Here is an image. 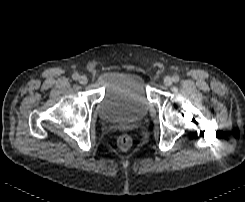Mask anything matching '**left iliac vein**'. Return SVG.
Segmentation results:
<instances>
[{
  "label": "left iliac vein",
  "instance_id": "left-iliac-vein-1",
  "mask_svg": "<svg viewBox=\"0 0 245 202\" xmlns=\"http://www.w3.org/2000/svg\"><path fill=\"white\" fill-rule=\"evenodd\" d=\"M172 83H173V80H172V78L170 76H167V77L164 78V84L166 86H170V85H172Z\"/></svg>",
  "mask_w": 245,
  "mask_h": 202
}]
</instances>
